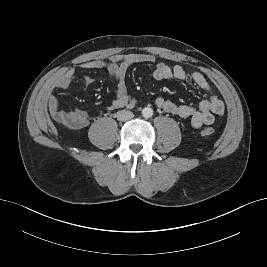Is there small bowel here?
Instances as JSON below:
<instances>
[{
	"label": "small bowel",
	"mask_w": 267,
	"mask_h": 267,
	"mask_svg": "<svg viewBox=\"0 0 267 267\" xmlns=\"http://www.w3.org/2000/svg\"><path fill=\"white\" fill-rule=\"evenodd\" d=\"M136 63H156V57L147 53H127L113 54L105 58H99L83 62L80 66L83 69H101L106 68L110 77L115 81L116 88L114 96L108 110L132 108L135 105V99L128 93L126 85V73L128 68ZM157 80L175 79L178 81L191 82L196 88L208 94L207 99L203 100L198 108L176 104L163 97H158L155 100L156 106L162 111L177 116L183 119H189L191 126L195 129L203 125H209L214 122L215 116H223L225 112L224 103L216 95L211 85L200 72H192L188 74L180 65L169 66L162 62L155 64L153 72ZM76 78V71L73 68L66 70L63 74L57 77L54 82V88L66 90L69 89ZM93 78L85 77L83 87L87 88L93 83ZM48 105L50 113L53 117L58 118L61 114L57 99L53 94L48 96ZM74 114L79 118L78 128L86 127L89 123L88 114L85 111L74 109Z\"/></svg>",
	"instance_id": "small-bowel-1"
}]
</instances>
